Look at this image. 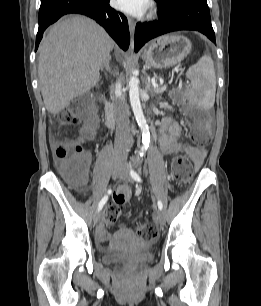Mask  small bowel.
Segmentation results:
<instances>
[{"label":"small bowel","instance_id":"obj_1","mask_svg":"<svg viewBox=\"0 0 261 306\" xmlns=\"http://www.w3.org/2000/svg\"><path fill=\"white\" fill-rule=\"evenodd\" d=\"M183 134L182 126L170 117H164L159 131V143L163 152L171 154L186 152L193 160L195 167L200 168L206 157V150L192 145H183L179 138ZM86 167L88 169L91 162V155L84 154Z\"/></svg>","mask_w":261,"mask_h":306}]
</instances>
